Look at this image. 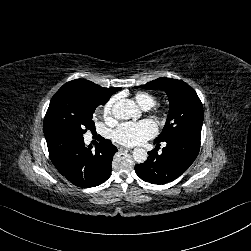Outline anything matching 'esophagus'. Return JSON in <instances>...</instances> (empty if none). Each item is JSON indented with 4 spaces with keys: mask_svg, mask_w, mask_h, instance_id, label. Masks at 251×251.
Segmentation results:
<instances>
[{
    "mask_svg": "<svg viewBox=\"0 0 251 251\" xmlns=\"http://www.w3.org/2000/svg\"><path fill=\"white\" fill-rule=\"evenodd\" d=\"M117 148H118L119 151L130 150V148L125 147V146H121V145H118Z\"/></svg>",
    "mask_w": 251,
    "mask_h": 251,
    "instance_id": "34e87169",
    "label": "esophagus"
}]
</instances>
